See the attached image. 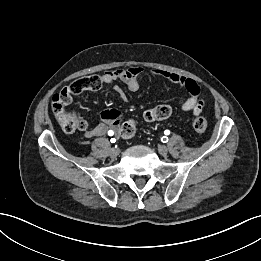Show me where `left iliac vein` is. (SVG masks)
I'll use <instances>...</instances> for the list:
<instances>
[{
    "instance_id": "left-iliac-vein-1",
    "label": "left iliac vein",
    "mask_w": 261,
    "mask_h": 261,
    "mask_svg": "<svg viewBox=\"0 0 261 261\" xmlns=\"http://www.w3.org/2000/svg\"><path fill=\"white\" fill-rule=\"evenodd\" d=\"M158 152H159L161 155L165 156V155L168 154V148H167L166 146H164V145H160V146L158 147Z\"/></svg>"
}]
</instances>
